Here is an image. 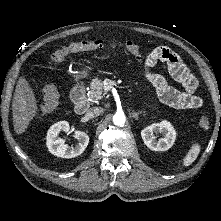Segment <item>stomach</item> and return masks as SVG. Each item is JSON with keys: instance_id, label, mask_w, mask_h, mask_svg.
<instances>
[{"instance_id": "0dacf381", "label": "stomach", "mask_w": 221, "mask_h": 221, "mask_svg": "<svg viewBox=\"0 0 221 221\" xmlns=\"http://www.w3.org/2000/svg\"><path fill=\"white\" fill-rule=\"evenodd\" d=\"M89 74V70L88 69H84L81 71V73L77 76L78 78H85L87 77Z\"/></svg>"}]
</instances>
